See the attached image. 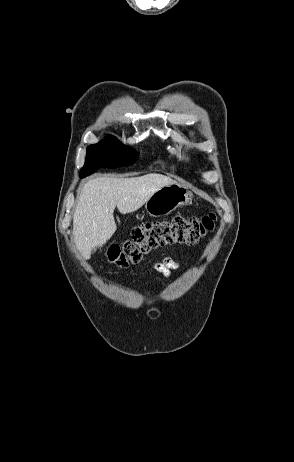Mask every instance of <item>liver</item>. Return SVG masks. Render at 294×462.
Instances as JSON below:
<instances>
[{
	"label": "liver",
	"instance_id": "obj_1",
	"mask_svg": "<svg viewBox=\"0 0 294 462\" xmlns=\"http://www.w3.org/2000/svg\"><path fill=\"white\" fill-rule=\"evenodd\" d=\"M176 184L161 174L115 179L97 177L82 188L73 217V235L78 250L87 258L96 247H102L115 233L113 212H134L160 188Z\"/></svg>",
	"mask_w": 294,
	"mask_h": 462
}]
</instances>
